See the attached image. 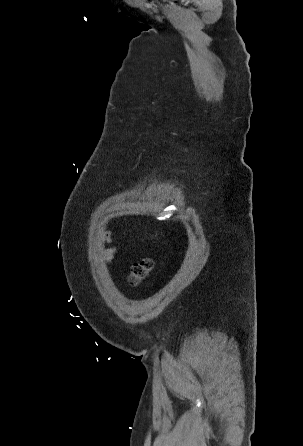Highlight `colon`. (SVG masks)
Masks as SVG:
<instances>
[{"mask_svg": "<svg viewBox=\"0 0 303 446\" xmlns=\"http://www.w3.org/2000/svg\"><path fill=\"white\" fill-rule=\"evenodd\" d=\"M154 268V262L150 258L142 259L141 261L133 264L131 268L130 279L134 284H137L144 279Z\"/></svg>", "mask_w": 303, "mask_h": 446, "instance_id": "colon-1", "label": "colon"}]
</instances>
